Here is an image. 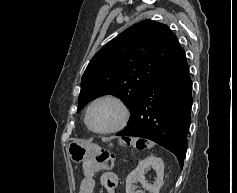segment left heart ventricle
<instances>
[{"label": "left heart ventricle", "instance_id": "b2bd125f", "mask_svg": "<svg viewBox=\"0 0 237 193\" xmlns=\"http://www.w3.org/2000/svg\"><path fill=\"white\" fill-rule=\"evenodd\" d=\"M121 116L119 107L110 101H103L93 107L90 112V123L98 130L115 126Z\"/></svg>", "mask_w": 237, "mask_h": 193}]
</instances>
